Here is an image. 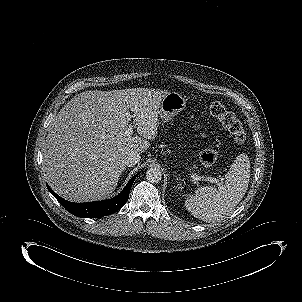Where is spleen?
<instances>
[{
    "label": "spleen",
    "mask_w": 302,
    "mask_h": 302,
    "mask_svg": "<svg viewBox=\"0 0 302 302\" xmlns=\"http://www.w3.org/2000/svg\"><path fill=\"white\" fill-rule=\"evenodd\" d=\"M250 178V163L246 155L234 160L225 181L215 186L200 187L185 200V207L205 222L219 220L229 214L245 195Z\"/></svg>",
    "instance_id": "3e777b00"
}]
</instances>
